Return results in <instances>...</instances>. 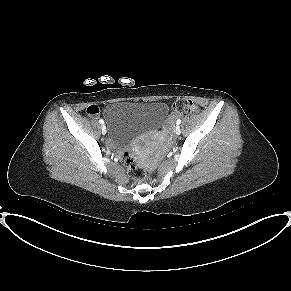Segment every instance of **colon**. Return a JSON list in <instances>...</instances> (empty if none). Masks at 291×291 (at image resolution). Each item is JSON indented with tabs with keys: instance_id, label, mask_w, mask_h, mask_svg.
<instances>
[{
	"instance_id": "colon-1",
	"label": "colon",
	"mask_w": 291,
	"mask_h": 291,
	"mask_svg": "<svg viewBox=\"0 0 291 291\" xmlns=\"http://www.w3.org/2000/svg\"><path fill=\"white\" fill-rule=\"evenodd\" d=\"M98 111L99 110L96 106H90L86 110L89 115H96ZM172 111L179 115H192L198 112V106L192 100L179 99L173 103ZM122 161L127 167L129 176L133 180L140 181L144 178L143 171L136 166L135 160L129 152H124L122 154Z\"/></svg>"
}]
</instances>
